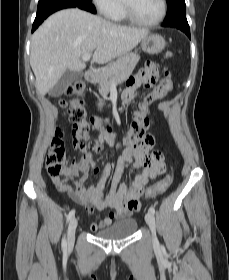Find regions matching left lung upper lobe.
I'll use <instances>...</instances> for the list:
<instances>
[{"label":"left lung upper lobe","instance_id":"5c2ea615","mask_svg":"<svg viewBox=\"0 0 229 280\" xmlns=\"http://www.w3.org/2000/svg\"><path fill=\"white\" fill-rule=\"evenodd\" d=\"M167 1V15L164 22H168L180 17H186L185 0H166Z\"/></svg>","mask_w":229,"mask_h":280}]
</instances>
